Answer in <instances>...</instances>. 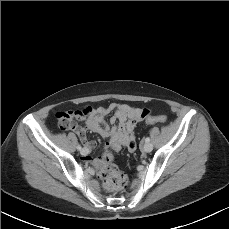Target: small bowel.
Returning <instances> with one entry per match:
<instances>
[{
  "mask_svg": "<svg viewBox=\"0 0 229 229\" xmlns=\"http://www.w3.org/2000/svg\"><path fill=\"white\" fill-rule=\"evenodd\" d=\"M112 111L114 115L111 118V122L117 123V125L111 128L105 123L104 117ZM140 113L141 109L139 108L118 103H112L108 107H88L84 110L75 112L76 119L84 120V125L78 126L76 124L72 129L77 133L88 153L96 144L87 138V132L98 133L108 138L110 140L109 146L114 152H119L122 146H126L130 151H134L136 144L133 137V130L136 125L143 120L140 117ZM109 158V154L104 157H85V159L98 171L101 170L104 161Z\"/></svg>",
  "mask_w": 229,
  "mask_h": 229,
  "instance_id": "c3829d8e",
  "label": "small bowel"
}]
</instances>
